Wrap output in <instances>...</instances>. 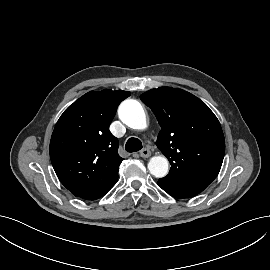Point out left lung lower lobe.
Returning a JSON list of instances; mask_svg holds the SVG:
<instances>
[{
    "label": "left lung lower lobe",
    "mask_w": 270,
    "mask_h": 270,
    "mask_svg": "<svg viewBox=\"0 0 270 270\" xmlns=\"http://www.w3.org/2000/svg\"><path fill=\"white\" fill-rule=\"evenodd\" d=\"M158 185L167 193H169L170 195L176 198L192 197L200 193L207 187L206 184H202L198 182H190V183L181 184V185H174V184L161 182L160 180H158Z\"/></svg>",
    "instance_id": "obj_1"
}]
</instances>
